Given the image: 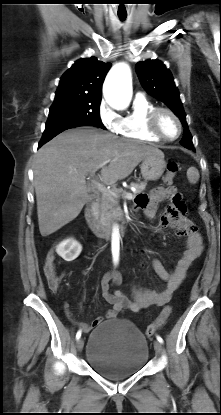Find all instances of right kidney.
Segmentation results:
<instances>
[{
    "label": "right kidney",
    "mask_w": 221,
    "mask_h": 415,
    "mask_svg": "<svg viewBox=\"0 0 221 415\" xmlns=\"http://www.w3.org/2000/svg\"><path fill=\"white\" fill-rule=\"evenodd\" d=\"M81 251V244L73 238L62 241L56 247L57 254L68 262L75 260L80 255Z\"/></svg>",
    "instance_id": "1"
}]
</instances>
